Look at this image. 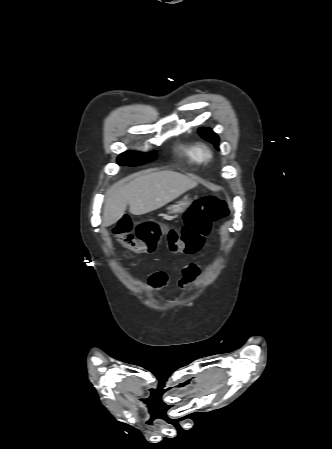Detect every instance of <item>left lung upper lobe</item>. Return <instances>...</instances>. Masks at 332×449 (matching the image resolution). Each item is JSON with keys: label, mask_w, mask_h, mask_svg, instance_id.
<instances>
[{"label": "left lung upper lobe", "mask_w": 332, "mask_h": 449, "mask_svg": "<svg viewBox=\"0 0 332 449\" xmlns=\"http://www.w3.org/2000/svg\"><path fill=\"white\" fill-rule=\"evenodd\" d=\"M199 134L206 140L215 144V147L218 148L219 138L211 129H200Z\"/></svg>", "instance_id": "obj_1"}]
</instances>
